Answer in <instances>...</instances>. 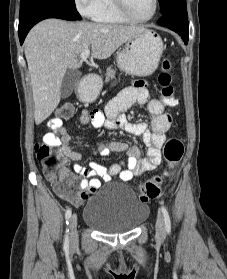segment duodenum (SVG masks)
I'll list each match as a JSON object with an SVG mask.
<instances>
[{"label":"duodenum","mask_w":227,"mask_h":279,"mask_svg":"<svg viewBox=\"0 0 227 279\" xmlns=\"http://www.w3.org/2000/svg\"><path fill=\"white\" fill-rule=\"evenodd\" d=\"M77 100L81 103H91V100L86 99V92L83 89H79L76 93Z\"/></svg>","instance_id":"410a0bca"}]
</instances>
